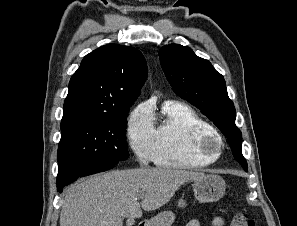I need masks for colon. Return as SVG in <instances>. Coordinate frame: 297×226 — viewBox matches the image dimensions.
I'll return each instance as SVG.
<instances>
[{
    "label": "colon",
    "mask_w": 297,
    "mask_h": 226,
    "mask_svg": "<svg viewBox=\"0 0 297 226\" xmlns=\"http://www.w3.org/2000/svg\"><path fill=\"white\" fill-rule=\"evenodd\" d=\"M232 226H255V222L244 212H236L233 216Z\"/></svg>",
    "instance_id": "5ec220e1"
}]
</instances>
